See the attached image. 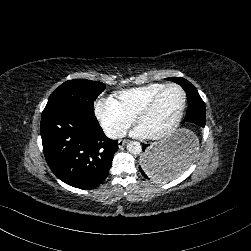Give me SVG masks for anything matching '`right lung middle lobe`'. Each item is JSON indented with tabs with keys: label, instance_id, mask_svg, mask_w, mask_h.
I'll return each instance as SVG.
<instances>
[{
	"label": "right lung middle lobe",
	"instance_id": "1",
	"mask_svg": "<svg viewBox=\"0 0 251 251\" xmlns=\"http://www.w3.org/2000/svg\"><path fill=\"white\" fill-rule=\"evenodd\" d=\"M105 88V84L97 81L69 80L54 90L45 108L73 107L94 112V101Z\"/></svg>",
	"mask_w": 251,
	"mask_h": 251
}]
</instances>
